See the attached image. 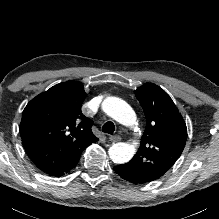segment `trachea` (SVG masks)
<instances>
[{
    "instance_id": "1",
    "label": "trachea",
    "mask_w": 219,
    "mask_h": 219,
    "mask_svg": "<svg viewBox=\"0 0 219 219\" xmlns=\"http://www.w3.org/2000/svg\"><path fill=\"white\" fill-rule=\"evenodd\" d=\"M114 131H115V125L111 121L106 122L102 127V132L113 134Z\"/></svg>"
}]
</instances>
